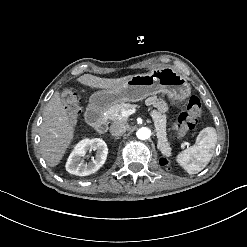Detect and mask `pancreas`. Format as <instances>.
<instances>
[{
  "mask_svg": "<svg viewBox=\"0 0 247 247\" xmlns=\"http://www.w3.org/2000/svg\"><path fill=\"white\" fill-rule=\"evenodd\" d=\"M136 105L130 103H118L113 105L112 107L106 109L104 111V118L111 120V121H121L126 122L127 118L122 116L123 110H129L135 108ZM150 115L153 118L154 126L156 130V135L158 138L157 148L164 154L170 155L171 154V147L167 141V133H166V115L160 113L157 110L151 111Z\"/></svg>",
  "mask_w": 247,
  "mask_h": 247,
  "instance_id": "cf45deb5",
  "label": "pancreas"
}]
</instances>
